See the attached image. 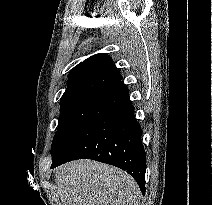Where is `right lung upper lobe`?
Here are the masks:
<instances>
[{"label": "right lung upper lobe", "instance_id": "right-lung-upper-lobe-1", "mask_svg": "<svg viewBox=\"0 0 212 205\" xmlns=\"http://www.w3.org/2000/svg\"><path fill=\"white\" fill-rule=\"evenodd\" d=\"M121 79L122 76L117 72L108 54L93 55L70 71L67 89L60 103L87 96L102 95Z\"/></svg>", "mask_w": 212, "mask_h": 205}]
</instances>
